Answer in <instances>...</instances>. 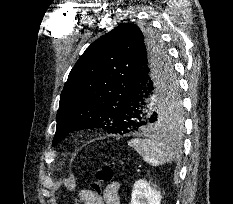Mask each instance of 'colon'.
I'll list each match as a JSON object with an SVG mask.
<instances>
[{
    "label": "colon",
    "instance_id": "colon-1",
    "mask_svg": "<svg viewBox=\"0 0 233 204\" xmlns=\"http://www.w3.org/2000/svg\"><path fill=\"white\" fill-rule=\"evenodd\" d=\"M113 177V169L108 164L101 165L94 173L90 184L89 192L93 195H100L104 183L109 182ZM78 197V196H77Z\"/></svg>",
    "mask_w": 233,
    "mask_h": 204
}]
</instances>
